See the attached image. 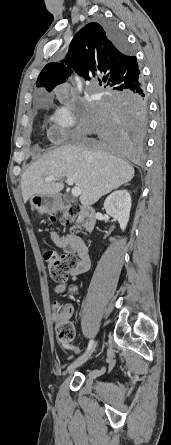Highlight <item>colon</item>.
<instances>
[{"mask_svg": "<svg viewBox=\"0 0 171 445\" xmlns=\"http://www.w3.org/2000/svg\"><path fill=\"white\" fill-rule=\"evenodd\" d=\"M80 216V206L78 204H70L62 217L64 226H71L74 231L78 227L74 225L75 219ZM49 223H54L55 218L51 217ZM45 262L49 269V274L54 281H64L69 271L75 266L76 259L72 255H61L55 250L49 249L44 254ZM58 319L55 325L57 340L62 344H71L75 338V329L70 317V309L68 306L57 303L54 307Z\"/></svg>", "mask_w": 171, "mask_h": 445, "instance_id": "obj_1", "label": "colon"}]
</instances>
